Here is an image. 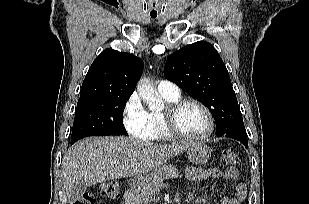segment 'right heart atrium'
I'll return each mask as SVG.
<instances>
[{
  "label": "right heart atrium",
  "mask_w": 309,
  "mask_h": 204,
  "mask_svg": "<svg viewBox=\"0 0 309 204\" xmlns=\"http://www.w3.org/2000/svg\"><path fill=\"white\" fill-rule=\"evenodd\" d=\"M123 123L132 137L147 139L149 136L150 128L147 122V112L136 93L131 94L124 104Z\"/></svg>",
  "instance_id": "obj_1"
}]
</instances>
